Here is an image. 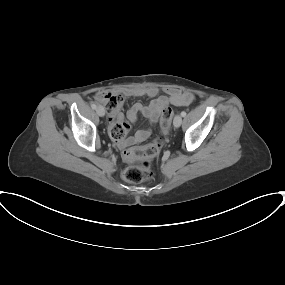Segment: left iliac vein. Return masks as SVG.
<instances>
[{"mask_svg":"<svg viewBox=\"0 0 285 285\" xmlns=\"http://www.w3.org/2000/svg\"><path fill=\"white\" fill-rule=\"evenodd\" d=\"M182 123V117L180 115H176L174 118V127L178 128Z\"/></svg>","mask_w":285,"mask_h":285,"instance_id":"4c4485c4","label":"left iliac vein"}]
</instances>
